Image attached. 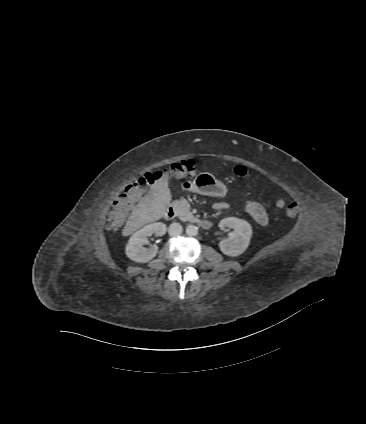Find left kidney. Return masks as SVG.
Wrapping results in <instances>:
<instances>
[{"mask_svg": "<svg viewBox=\"0 0 366 424\" xmlns=\"http://www.w3.org/2000/svg\"><path fill=\"white\" fill-rule=\"evenodd\" d=\"M219 227L234 229V231L229 233L228 239L219 243V248L223 254L236 257L248 248L252 236V227L247 221L235 217H227L220 221Z\"/></svg>", "mask_w": 366, "mask_h": 424, "instance_id": "1", "label": "left kidney"}]
</instances>
